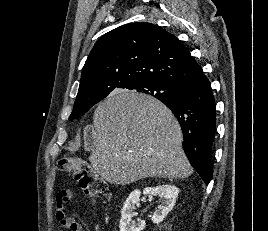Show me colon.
<instances>
[{
    "mask_svg": "<svg viewBox=\"0 0 268 231\" xmlns=\"http://www.w3.org/2000/svg\"><path fill=\"white\" fill-rule=\"evenodd\" d=\"M58 167L61 171L72 175L83 187L86 195L92 199L106 196L107 184L89 166L85 159L67 156L59 161ZM62 195L66 196L67 192H63Z\"/></svg>",
    "mask_w": 268,
    "mask_h": 231,
    "instance_id": "obj_1",
    "label": "colon"
}]
</instances>
